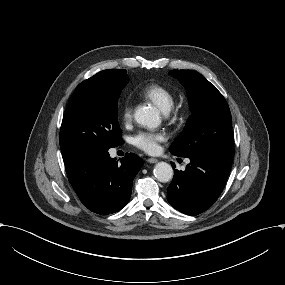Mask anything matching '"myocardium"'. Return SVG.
<instances>
[{
  "mask_svg": "<svg viewBox=\"0 0 285 285\" xmlns=\"http://www.w3.org/2000/svg\"><path fill=\"white\" fill-rule=\"evenodd\" d=\"M173 107H170L169 109L165 110L167 113H170L172 111Z\"/></svg>",
  "mask_w": 285,
  "mask_h": 285,
  "instance_id": "obj_1",
  "label": "myocardium"
}]
</instances>
